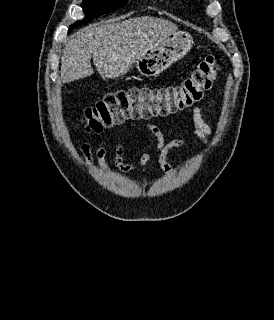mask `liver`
I'll return each mask as SVG.
<instances>
[{"label":"liver","instance_id":"liver-1","mask_svg":"<svg viewBox=\"0 0 274 320\" xmlns=\"http://www.w3.org/2000/svg\"><path fill=\"white\" fill-rule=\"evenodd\" d=\"M177 30L163 18H129L124 22H99L70 36L61 58L63 82H74L93 74V64L103 78H119L143 58L147 50Z\"/></svg>","mask_w":274,"mask_h":320}]
</instances>
